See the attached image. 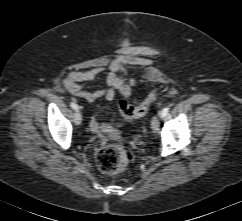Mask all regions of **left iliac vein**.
<instances>
[{"label":"left iliac vein","mask_w":242,"mask_h":221,"mask_svg":"<svg viewBox=\"0 0 242 221\" xmlns=\"http://www.w3.org/2000/svg\"><path fill=\"white\" fill-rule=\"evenodd\" d=\"M162 118V112H158L157 117L153 118L151 122V127L153 130L159 129V120Z\"/></svg>","instance_id":"1"}]
</instances>
